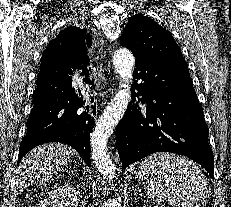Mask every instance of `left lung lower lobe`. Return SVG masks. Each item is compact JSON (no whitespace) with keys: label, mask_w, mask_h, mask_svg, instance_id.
Segmentation results:
<instances>
[{"label":"left lung lower lobe","mask_w":231,"mask_h":207,"mask_svg":"<svg viewBox=\"0 0 231 207\" xmlns=\"http://www.w3.org/2000/svg\"><path fill=\"white\" fill-rule=\"evenodd\" d=\"M135 66L132 101L116 130L123 168L154 152H173L201 164L214 178L209 130L189 71L145 58H137Z\"/></svg>","instance_id":"0a47b994"}]
</instances>
